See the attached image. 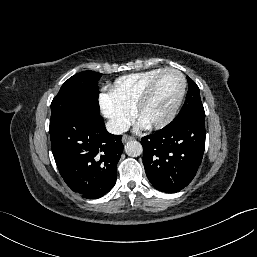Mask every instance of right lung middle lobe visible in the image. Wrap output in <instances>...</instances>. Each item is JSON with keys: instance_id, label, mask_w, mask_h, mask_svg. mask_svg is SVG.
Listing matches in <instances>:
<instances>
[{"instance_id": "right-lung-middle-lobe-1", "label": "right lung middle lobe", "mask_w": 257, "mask_h": 257, "mask_svg": "<svg viewBox=\"0 0 257 257\" xmlns=\"http://www.w3.org/2000/svg\"><path fill=\"white\" fill-rule=\"evenodd\" d=\"M101 76L98 72L83 71L70 77L51 103L50 126L74 112L100 115L98 81Z\"/></svg>"}]
</instances>
